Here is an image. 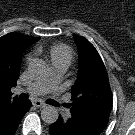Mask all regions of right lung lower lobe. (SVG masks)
Wrapping results in <instances>:
<instances>
[{
    "label": "right lung lower lobe",
    "mask_w": 135,
    "mask_h": 135,
    "mask_svg": "<svg viewBox=\"0 0 135 135\" xmlns=\"http://www.w3.org/2000/svg\"><path fill=\"white\" fill-rule=\"evenodd\" d=\"M31 102L13 101L0 106V135H14Z\"/></svg>",
    "instance_id": "98d812e1"
}]
</instances>
